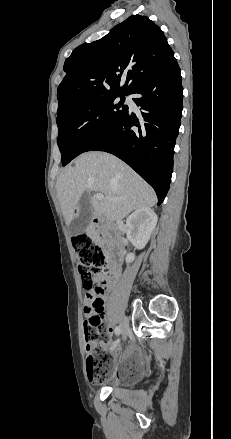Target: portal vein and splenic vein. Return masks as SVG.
<instances>
[{"label":"portal vein and splenic vein","mask_w":231,"mask_h":439,"mask_svg":"<svg viewBox=\"0 0 231 439\" xmlns=\"http://www.w3.org/2000/svg\"><path fill=\"white\" fill-rule=\"evenodd\" d=\"M95 198H96L97 200L101 201V200L104 199V195L101 194V193H97V194L95 195Z\"/></svg>","instance_id":"obj_1"}]
</instances>
